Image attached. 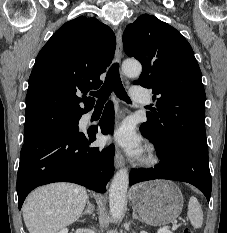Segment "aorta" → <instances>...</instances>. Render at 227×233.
<instances>
[{
  "label": "aorta",
  "mask_w": 227,
  "mask_h": 233,
  "mask_svg": "<svg viewBox=\"0 0 227 233\" xmlns=\"http://www.w3.org/2000/svg\"><path fill=\"white\" fill-rule=\"evenodd\" d=\"M122 70L128 77H138L141 74L142 66L138 61L127 60L123 62ZM128 185V170L122 168L114 175L109 189L110 213L114 219H119L123 215Z\"/></svg>",
  "instance_id": "aorta-1"
}]
</instances>
